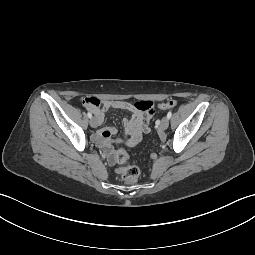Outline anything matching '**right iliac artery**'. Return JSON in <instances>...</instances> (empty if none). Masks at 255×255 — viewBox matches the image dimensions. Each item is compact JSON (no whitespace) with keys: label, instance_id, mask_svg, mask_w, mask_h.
Here are the masks:
<instances>
[{"label":"right iliac artery","instance_id":"obj_1","mask_svg":"<svg viewBox=\"0 0 255 255\" xmlns=\"http://www.w3.org/2000/svg\"><path fill=\"white\" fill-rule=\"evenodd\" d=\"M87 116H88L89 118H92V114H91L90 112L87 113Z\"/></svg>","mask_w":255,"mask_h":255}]
</instances>
